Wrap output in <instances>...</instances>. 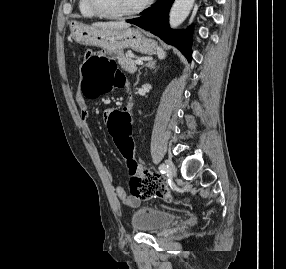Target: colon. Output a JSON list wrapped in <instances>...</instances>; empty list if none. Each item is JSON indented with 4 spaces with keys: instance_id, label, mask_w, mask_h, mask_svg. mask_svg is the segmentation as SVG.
I'll use <instances>...</instances> for the list:
<instances>
[{
    "instance_id": "1",
    "label": "colon",
    "mask_w": 286,
    "mask_h": 269,
    "mask_svg": "<svg viewBox=\"0 0 286 269\" xmlns=\"http://www.w3.org/2000/svg\"><path fill=\"white\" fill-rule=\"evenodd\" d=\"M126 49H94L86 50L81 67V90L87 97H93L112 87L120 88L124 76L118 70L115 62L124 59ZM112 59V60H111ZM108 118L109 138H112L117 159L125 161L124 168L130 175L129 189L131 195L148 198L152 194L164 190V181L159 176L143 169V163H137L136 139L130 137L132 126V111L127 107L114 106Z\"/></svg>"
}]
</instances>
